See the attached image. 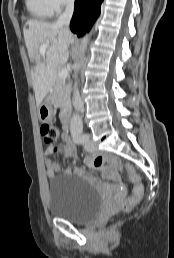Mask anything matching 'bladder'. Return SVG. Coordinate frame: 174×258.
<instances>
[{"label":"bladder","mask_w":174,"mask_h":258,"mask_svg":"<svg viewBox=\"0 0 174 258\" xmlns=\"http://www.w3.org/2000/svg\"><path fill=\"white\" fill-rule=\"evenodd\" d=\"M101 207L100 193L81 175L63 173L50 183L48 209L53 216L84 223L97 217Z\"/></svg>","instance_id":"1"}]
</instances>
